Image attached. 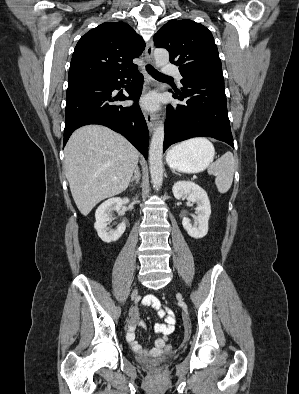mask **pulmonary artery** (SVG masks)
Wrapping results in <instances>:
<instances>
[{
  "label": "pulmonary artery",
  "mask_w": 299,
  "mask_h": 394,
  "mask_svg": "<svg viewBox=\"0 0 299 394\" xmlns=\"http://www.w3.org/2000/svg\"><path fill=\"white\" fill-rule=\"evenodd\" d=\"M163 73L165 75H170V76H174L176 77L179 81L182 79V76L180 74V72L178 71V69L173 68V67H169L168 65H165L163 68Z\"/></svg>",
  "instance_id": "e3ab8cb5"
}]
</instances>
